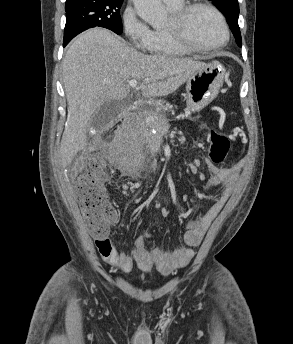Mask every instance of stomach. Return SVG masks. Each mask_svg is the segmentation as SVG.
Instances as JSON below:
<instances>
[{"instance_id": "stomach-1", "label": "stomach", "mask_w": 293, "mask_h": 344, "mask_svg": "<svg viewBox=\"0 0 293 344\" xmlns=\"http://www.w3.org/2000/svg\"><path fill=\"white\" fill-rule=\"evenodd\" d=\"M225 68L217 61H212L197 70L186 81L187 112H197L213 101L223 85ZM156 109H161L157 103Z\"/></svg>"}]
</instances>
